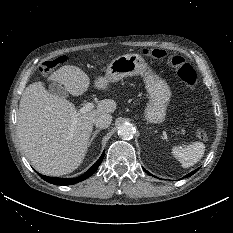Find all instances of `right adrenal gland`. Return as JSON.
I'll list each match as a JSON object with an SVG mask.
<instances>
[{
	"label": "right adrenal gland",
	"mask_w": 233,
	"mask_h": 233,
	"mask_svg": "<svg viewBox=\"0 0 233 233\" xmlns=\"http://www.w3.org/2000/svg\"><path fill=\"white\" fill-rule=\"evenodd\" d=\"M100 132V129L95 130L90 141H89V146L92 144L93 140L95 139L96 135Z\"/></svg>",
	"instance_id": "right-adrenal-gland-1"
}]
</instances>
